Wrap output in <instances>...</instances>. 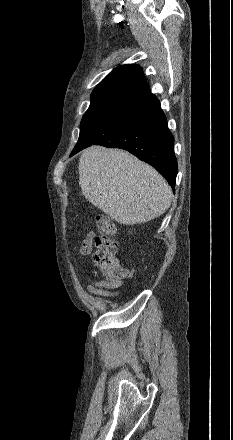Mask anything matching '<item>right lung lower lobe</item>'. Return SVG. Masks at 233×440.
<instances>
[{
	"mask_svg": "<svg viewBox=\"0 0 233 440\" xmlns=\"http://www.w3.org/2000/svg\"><path fill=\"white\" fill-rule=\"evenodd\" d=\"M92 144L129 151L156 168L174 189L178 169L174 138L159 100L150 92L125 104L78 142L70 156Z\"/></svg>",
	"mask_w": 233,
	"mask_h": 440,
	"instance_id": "98d812e1",
	"label": "right lung lower lobe"
}]
</instances>
